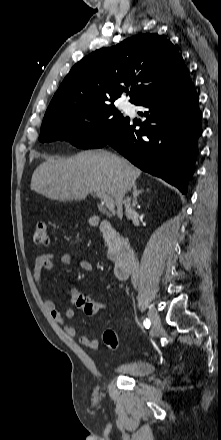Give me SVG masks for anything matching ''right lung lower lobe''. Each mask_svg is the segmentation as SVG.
I'll return each mask as SVG.
<instances>
[{"mask_svg":"<svg viewBox=\"0 0 221 440\" xmlns=\"http://www.w3.org/2000/svg\"><path fill=\"white\" fill-rule=\"evenodd\" d=\"M199 98L190 79L136 103L147 111L139 130L129 118L105 144L140 169L164 179L182 193L194 173L202 133ZM104 145V146H105Z\"/></svg>","mask_w":221,"mask_h":440,"instance_id":"98d812e1","label":"right lung lower lobe"}]
</instances>
